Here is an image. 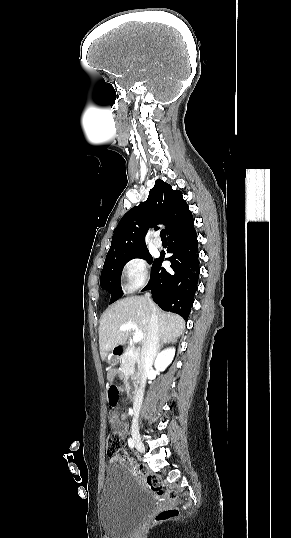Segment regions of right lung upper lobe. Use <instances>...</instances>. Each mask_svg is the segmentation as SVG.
I'll list each match as a JSON object with an SVG mask.
<instances>
[{
	"label": "right lung upper lobe",
	"instance_id": "1",
	"mask_svg": "<svg viewBox=\"0 0 291 538\" xmlns=\"http://www.w3.org/2000/svg\"><path fill=\"white\" fill-rule=\"evenodd\" d=\"M194 221L182 192L161 179L156 180L145 202L130 209L120 220L106 259L146 249L145 235L150 227L164 224L167 236Z\"/></svg>",
	"mask_w": 291,
	"mask_h": 538
}]
</instances>
